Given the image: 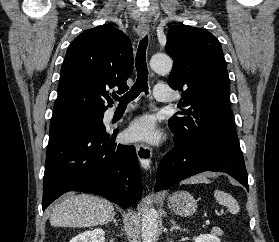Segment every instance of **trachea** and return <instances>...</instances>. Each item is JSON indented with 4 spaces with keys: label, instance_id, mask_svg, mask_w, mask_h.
Wrapping results in <instances>:
<instances>
[{
    "label": "trachea",
    "instance_id": "obj_1",
    "mask_svg": "<svg viewBox=\"0 0 279 242\" xmlns=\"http://www.w3.org/2000/svg\"><path fill=\"white\" fill-rule=\"evenodd\" d=\"M148 45V37L145 36L139 43V47L136 54V71L137 80L132 88L124 94L122 97L113 95V99L119 101V105H126L130 101L134 100L141 92L148 93V69L146 63V49Z\"/></svg>",
    "mask_w": 279,
    "mask_h": 242
}]
</instances>
